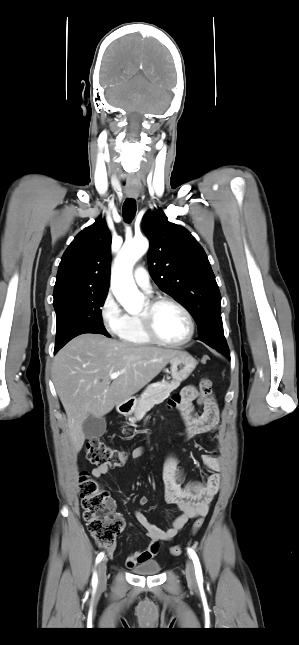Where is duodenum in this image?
Wrapping results in <instances>:
<instances>
[{
	"mask_svg": "<svg viewBox=\"0 0 299 645\" xmlns=\"http://www.w3.org/2000/svg\"><path fill=\"white\" fill-rule=\"evenodd\" d=\"M128 410H129V405L127 403L121 404L119 406V411L121 413H126V412H128Z\"/></svg>",
	"mask_w": 299,
	"mask_h": 645,
	"instance_id": "obj_1",
	"label": "duodenum"
}]
</instances>
